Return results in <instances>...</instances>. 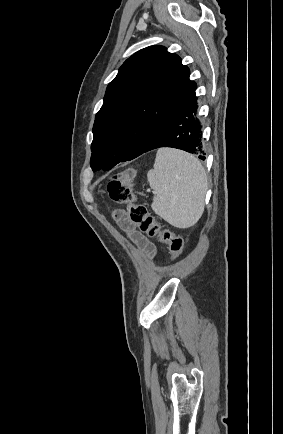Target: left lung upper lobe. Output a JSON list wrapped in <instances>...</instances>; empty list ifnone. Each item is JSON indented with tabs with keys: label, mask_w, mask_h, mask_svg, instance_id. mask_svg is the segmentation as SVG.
<instances>
[{
	"label": "left lung upper lobe",
	"mask_w": 283,
	"mask_h": 434,
	"mask_svg": "<svg viewBox=\"0 0 283 434\" xmlns=\"http://www.w3.org/2000/svg\"><path fill=\"white\" fill-rule=\"evenodd\" d=\"M181 59L163 46L144 48L109 83L93 126V171L141 155L169 114L197 85Z\"/></svg>",
	"instance_id": "1"
}]
</instances>
